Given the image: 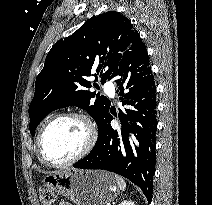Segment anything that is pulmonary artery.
Segmentation results:
<instances>
[{"mask_svg": "<svg viewBox=\"0 0 212 205\" xmlns=\"http://www.w3.org/2000/svg\"><path fill=\"white\" fill-rule=\"evenodd\" d=\"M104 91L110 96L114 97L115 96V87L112 82H106L104 84Z\"/></svg>", "mask_w": 212, "mask_h": 205, "instance_id": "obj_1", "label": "pulmonary artery"}]
</instances>
